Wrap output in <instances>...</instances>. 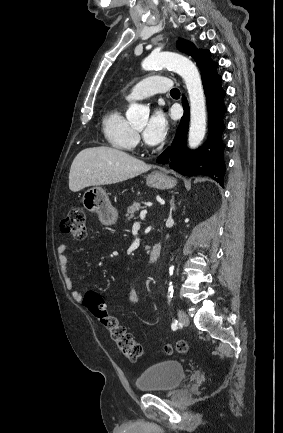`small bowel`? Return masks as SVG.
<instances>
[{
  "mask_svg": "<svg viewBox=\"0 0 283 433\" xmlns=\"http://www.w3.org/2000/svg\"><path fill=\"white\" fill-rule=\"evenodd\" d=\"M57 253V260L60 266V269L62 271L64 282L67 287V289L71 290V296L74 301L81 303L83 302V296L82 294L74 289L73 287V281L69 276L68 273V256H67V246L64 244H61L56 249ZM128 300L133 305H138L141 301V294L140 290L137 285L132 284L129 286L127 290Z\"/></svg>",
  "mask_w": 283,
  "mask_h": 433,
  "instance_id": "small-bowel-1",
  "label": "small bowel"
}]
</instances>
